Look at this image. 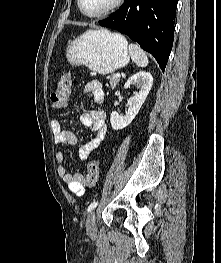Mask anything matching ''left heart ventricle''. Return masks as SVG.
I'll return each mask as SVG.
<instances>
[{
  "label": "left heart ventricle",
  "instance_id": "b2bd125f",
  "mask_svg": "<svg viewBox=\"0 0 221 263\" xmlns=\"http://www.w3.org/2000/svg\"><path fill=\"white\" fill-rule=\"evenodd\" d=\"M115 0H82V6L88 13H98L109 7Z\"/></svg>",
  "mask_w": 221,
  "mask_h": 263
}]
</instances>
